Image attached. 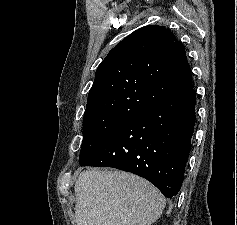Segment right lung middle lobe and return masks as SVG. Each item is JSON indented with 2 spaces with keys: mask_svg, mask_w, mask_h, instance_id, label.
I'll use <instances>...</instances> for the list:
<instances>
[{
  "mask_svg": "<svg viewBox=\"0 0 237 225\" xmlns=\"http://www.w3.org/2000/svg\"><path fill=\"white\" fill-rule=\"evenodd\" d=\"M131 118L101 117L83 120V141L79 160L87 156L101 142L121 128Z\"/></svg>",
  "mask_w": 237,
  "mask_h": 225,
  "instance_id": "dd1d6c3e",
  "label": "right lung middle lobe"
}]
</instances>
